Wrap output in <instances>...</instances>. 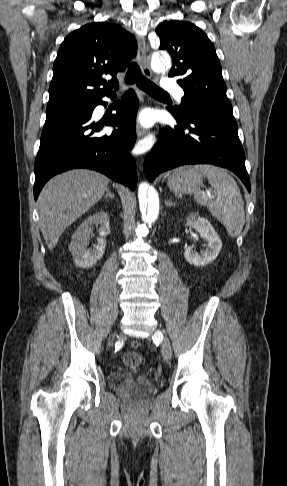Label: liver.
I'll return each mask as SVG.
<instances>
[{"mask_svg": "<svg viewBox=\"0 0 287 486\" xmlns=\"http://www.w3.org/2000/svg\"><path fill=\"white\" fill-rule=\"evenodd\" d=\"M109 179L95 171L76 169L53 177L41 191L37 205L40 229L53 250L69 225L104 195Z\"/></svg>", "mask_w": 287, "mask_h": 486, "instance_id": "6515ba94", "label": "liver"}]
</instances>
